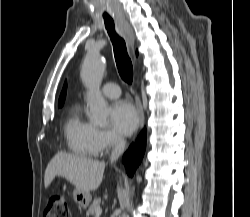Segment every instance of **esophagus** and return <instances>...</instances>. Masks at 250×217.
Segmentation results:
<instances>
[{
  "mask_svg": "<svg viewBox=\"0 0 250 217\" xmlns=\"http://www.w3.org/2000/svg\"><path fill=\"white\" fill-rule=\"evenodd\" d=\"M117 22H118V26L120 28L122 35L124 36V38L127 41L128 46L130 48H133L134 33H133L132 27L125 20V18H120L117 20ZM135 104H136L138 115H139V126L141 129L144 126L145 117H144V112H143V108H142V103H141L140 97L138 95L135 96Z\"/></svg>",
  "mask_w": 250,
  "mask_h": 217,
  "instance_id": "34e87169",
  "label": "esophagus"
}]
</instances>
